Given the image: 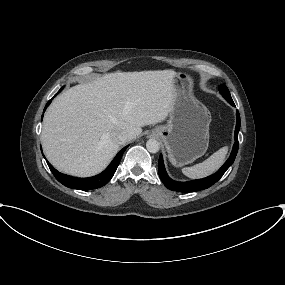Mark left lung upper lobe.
<instances>
[{
    "label": "left lung upper lobe",
    "instance_id": "obj_1",
    "mask_svg": "<svg viewBox=\"0 0 285 285\" xmlns=\"http://www.w3.org/2000/svg\"><path fill=\"white\" fill-rule=\"evenodd\" d=\"M220 92L225 99H232L229 90L225 85L220 86Z\"/></svg>",
    "mask_w": 285,
    "mask_h": 285
}]
</instances>
